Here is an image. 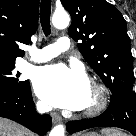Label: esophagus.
Segmentation results:
<instances>
[{
  "label": "esophagus",
  "mask_w": 136,
  "mask_h": 136,
  "mask_svg": "<svg viewBox=\"0 0 136 136\" xmlns=\"http://www.w3.org/2000/svg\"><path fill=\"white\" fill-rule=\"evenodd\" d=\"M51 117H52L53 123H58V122L61 121L60 115H58V114L55 113V112L51 113Z\"/></svg>",
  "instance_id": "obj_1"
}]
</instances>
